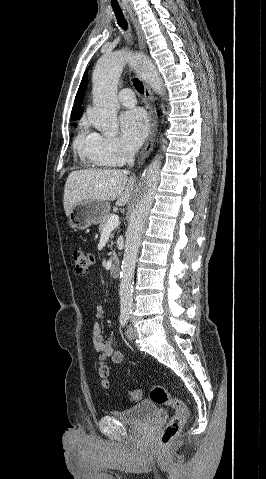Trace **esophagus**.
Returning <instances> with one entry per match:
<instances>
[{
  "mask_svg": "<svg viewBox=\"0 0 266 479\" xmlns=\"http://www.w3.org/2000/svg\"><path fill=\"white\" fill-rule=\"evenodd\" d=\"M129 15L131 16V19L136 29L138 47L140 50H144L146 47L144 32L141 29L140 24L138 23V20L135 18V16L133 15L131 11L129 12ZM143 85H144V97L149 108L150 133L145 143V146L142 150L141 156L139 158V161H138L139 166L144 162V160L150 154L154 145L156 134H157V115H156L155 108L153 106L152 91L146 82H144Z\"/></svg>",
  "mask_w": 266,
  "mask_h": 479,
  "instance_id": "obj_1",
  "label": "esophagus"
}]
</instances>
